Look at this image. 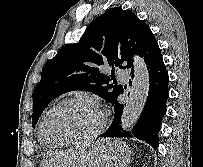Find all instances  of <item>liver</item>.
<instances>
[{
	"label": "liver",
	"mask_w": 203,
	"mask_h": 167,
	"mask_svg": "<svg viewBox=\"0 0 203 167\" xmlns=\"http://www.w3.org/2000/svg\"><path fill=\"white\" fill-rule=\"evenodd\" d=\"M101 142L111 143V141L104 139ZM115 147H121L125 144L113 141ZM85 153L83 151L67 150L64 152L53 153L47 156L42 162L40 167H78L84 160Z\"/></svg>",
	"instance_id": "6515ba94"
}]
</instances>
